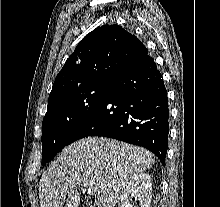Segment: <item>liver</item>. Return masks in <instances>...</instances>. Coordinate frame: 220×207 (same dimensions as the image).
I'll use <instances>...</instances> for the list:
<instances>
[{
    "instance_id": "6515ba94",
    "label": "liver",
    "mask_w": 220,
    "mask_h": 207,
    "mask_svg": "<svg viewBox=\"0 0 220 207\" xmlns=\"http://www.w3.org/2000/svg\"><path fill=\"white\" fill-rule=\"evenodd\" d=\"M155 163L147 150L103 137H88L66 147L39 182L41 207H79L77 187H93L98 207H114L127 183Z\"/></svg>"
}]
</instances>
